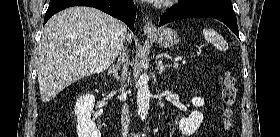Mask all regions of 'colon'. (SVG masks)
<instances>
[{"instance_id":"1","label":"colon","mask_w":280,"mask_h":137,"mask_svg":"<svg viewBox=\"0 0 280 137\" xmlns=\"http://www.w3.org/2000/svg\"><path fill=\"white\" fill-rule=\"evenodd\" d=\"M222 100L225 106L226 121L229 123L233 113L232 108L236 100L235 79L231 72H225L223 75Z\"/></svg>"}]
</instances>
